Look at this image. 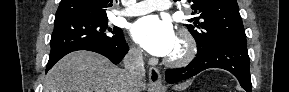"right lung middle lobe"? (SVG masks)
<instances>
[{"label":"right lung middle lobe","instance_id":"obj_1","mask_svg":"<svg viewBox=\"0 0 289 92\" xmlns=\"http://www.w3.org/2000/svg\"><path fill=\"white\" fill-rule=\"evenodd\" d=\"M121 38L122 30L109 28L108 18L81 17L55 21L50 55L87 43L112 44Z\"/></svg>","mask_w":289,"mask_h":92}]
</instances>
